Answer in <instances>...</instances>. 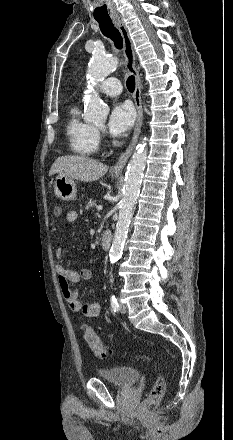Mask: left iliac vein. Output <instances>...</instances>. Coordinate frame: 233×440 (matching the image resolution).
<instances>
[{
	"mask_svg": "<svg viewBox=\"0 0 233 440\" xmlns=\"http://www.w3.org/2000/svg\"><path fill=\"white\" fill-rule=\"evenodd\" d=\"M120 311H121V313H127V311H128L127 305L120 302Z\"/></svg>",
	"mask_w": 233,
	"mask_h": 440,
	"instance_id": "1",
	"label": "left iliac vein"
}]
</instances>
